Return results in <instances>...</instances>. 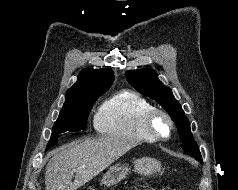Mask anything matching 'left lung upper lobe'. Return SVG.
<instances>
[{
	"label": "left lung upper lobe",
	"instance_id": "obj_1",
	"mask_svg": "<svg viewBox=\"0 0 238 190\" xmlns=\"http://www.w3.org/2000/svg\"><path fill=\"white\" fill-rule=\"evenodd\" d=\"M126 75L130 84L138 92L156 100L169 113L176 123L184 151L202 162L201 153L192 137L190 123L171 89L159 81L157 73L150 69L130 70Z\"/></svg>",
	"mask_w": 238,
	"mask_h": 190
}]
</instances>
